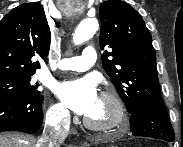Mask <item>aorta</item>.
<instances>
[{"mask_svg": "<svg viewBox=\"0 0 183 147\" xmlns=\"http://www.w3.org/2000/svg\"><path fill=\"white\" fill-rule=\"evenodd\" d=\"M99 23L96 18H85L76 27L73 34V42L76 45L89 40L98 30Z\"/></svg>", "mask_w": 183, "mask_h": 147, "instance_id": "obj_1", "label": "aorta"}]
</instances>
